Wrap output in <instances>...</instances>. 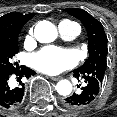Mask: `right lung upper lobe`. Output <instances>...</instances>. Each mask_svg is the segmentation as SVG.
Here are the masks:
<instances>
[{"instance_id": "obj_1", "label": "right lung upper lobe", "mask_w": 117, "mask_h": 117, "mask_svg": "<svg viewBox=\"0 0 117 117\" xmlns=\"http://www.w3.org/2000/svg\"><path fill=\"white\" fill-rule=\"evenodd\" d=\"M34 16L31 14L8 13L0 17V36L17 37L21 27Z\"/></svg>"}]
</instances>
